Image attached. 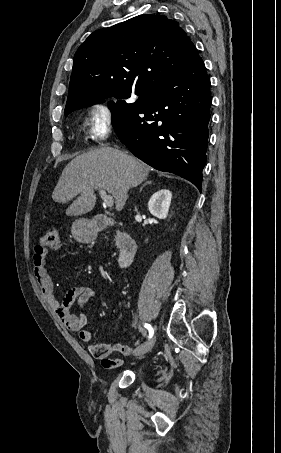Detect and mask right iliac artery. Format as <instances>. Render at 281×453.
I'll list each match as a JSON object with an SVG mask.
<instances>
[{"instance_id":"1","label":"right iliac artery","mask_w":281,"mask_h":453,"mask_svg":"<svg viewBox=\"0 0 281 453\" xmlns=\"http://www.w3.org/2000/svg\"><path fill=\"white\" fill-rule=\"evenodd\" d=\"M144 327L147 328L149 331V338H152L154 334V329L152 328V326L150 324L145 323Z\"/></svg>"}]
</instances>
